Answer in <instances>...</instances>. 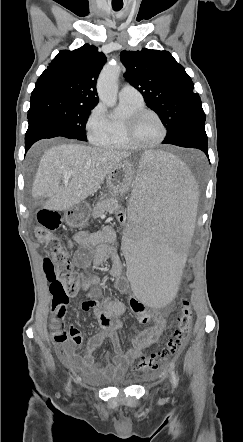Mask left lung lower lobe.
<instances>
[{"instance_id":"0a47b994","label":"left lung lower lobe","mask_w":243,"mask_h":442,"mask_svg":"<svg viewBox=\"0 0 243 442\" xmlns=\"http://www.w3.org/2000/svg\"><path fill=\"white\" fill-rule=\"evenodd\" d=\"M167 144L197 148L202 150L208 156V139L205 132V120L192 122Z\"/></svg>"}]
</instances>
